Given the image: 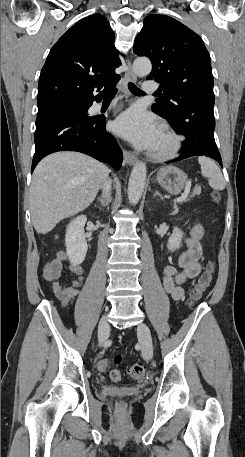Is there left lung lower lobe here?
<instances>
[{
    "instance_id": "1",
    "label": "left lung lower lobe",
    "mask_w": 245,
    "mask_h": 457,
    "mask_svg": "<svg viewBox=\"0 0 245 457\" xmlns=\"http://www.w3.org/2000/svg\"><path fill=\"white\" fill-rule=\"evenodd\" d=\"M171 126L177 133L184 135L186 141L183 143V153L167 163L192 156H207L215 159L222 166V159L214 139L215 118L212 111L180 116L172 122Z\"/></svg>"
}]
</instances>
